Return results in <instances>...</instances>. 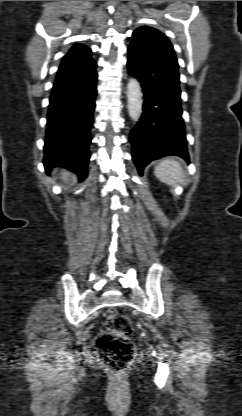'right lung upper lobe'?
Masks as SVG:
<instances>
[{"label": "right lung upper lobe", "mask_w": 242, "mask_h": 416, "mask_svg": "<svg viewBox=\"0 0 242 416\" xmlns=\"http://www.w3.org/2000/svg\"><path fill=\"white\" fill-rule=\"evenodd\" d=\"M90 53L91 50L84 45L78 44L72 47L63 58L56 79H73L88 74L96 67Z\"/></svg>", "instance_id": "1"}]
</instances>
